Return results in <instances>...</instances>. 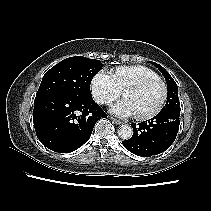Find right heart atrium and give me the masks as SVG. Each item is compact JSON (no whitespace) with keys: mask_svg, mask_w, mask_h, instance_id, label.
<instances>
[{"mask_svg":"<svg viewBox=\"0 0 211 211\" xmlns=\"http://www.w3.org/2000/svg\"><path fill=\"white\" fill-rule=\"evenodd\" d=\"M90 87L94 99L101 105L110 104L122 93L113 74L104 69L93 76Z\"/></svg>","mask_w":211,"mask_h":211,"instance_id":"right-heart-atrium-1","label":"right heart atrium"}]
</instances>
